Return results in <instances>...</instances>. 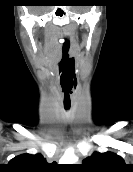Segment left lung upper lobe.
<instances>
[{
  "mask_svg": "<svg viewBox=\"0 0 133 172\" xmlns=\"http://www.w3.org/2000/svg\"><path fill=\"white\" fill-rule=\"evenodd\" d=\"M82 166L87 172H120L126 165L120 156L112 152H95L83 160Z\"/></svg>",
  "mask_w": 133,
  "mask_h": 172,
  "instance_id": "obj_1",
  "label": "left lung upper lobe"
}]
</instances>
